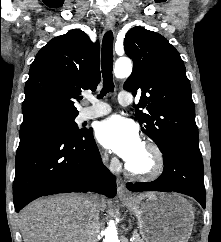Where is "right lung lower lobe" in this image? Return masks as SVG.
<instances>
[{
	"mask_svg": "<svg viewBox=\"0 0 221 242\" xmlns=\"http://www.w3.org/2000/svg\"><path fill=\"white\" fill-rule=\"evenodd\" d=\"M87 191L116 195V179L102 165L92 130L72 134L48 126L20 129L13 183L17 212L41 196Z\"/></svg>",
	"mask_w": 221,
	"mask_h": 242,
	"instance_id": "1",
	"label": "right lung lower lobe"
}]
</instances>
